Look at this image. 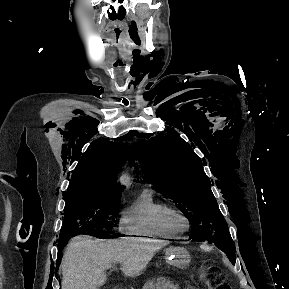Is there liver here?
Masks as SVG:
<instances>
[{"instance_id":"obj_1","label":"liver","mask_w":289,"mask_h":289,"mask_svg":"<svg viewBox=\"0 0 289 289\" xmlns=\"http://www.w3.org/2000/svg\"><path fill=\"white\" fill-rule=\"evenodd\" d=\"M168 243L142 238L103 241L77 236L68 244L62 259L61 289H98L106 282L105 268L113 262L121 264L125 275L138 276Z\"/></svg>"}]
</instances>
